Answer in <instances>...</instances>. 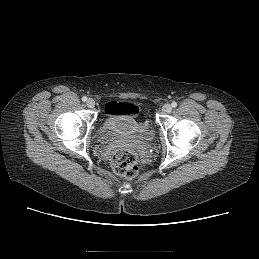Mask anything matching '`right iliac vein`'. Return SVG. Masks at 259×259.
<instances>
[{
  "instance_id": "1",
  "label": "right iliac vein",
  "mask_w": 259,
  "mask_h": 259,
  "mask_svg": "<svg viewBox=\"0 0 259 259\" xmlns=\"http://www.w3.org/2000/svg\"><path fill=\"white\" fill-rule=\"evenodd\" d=\"M87 107L93 108L95 106V101L93 99H88L86 102Z\"/></svg>"
}]
</instances>
